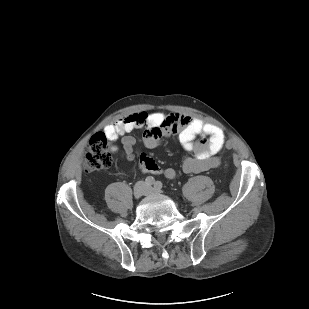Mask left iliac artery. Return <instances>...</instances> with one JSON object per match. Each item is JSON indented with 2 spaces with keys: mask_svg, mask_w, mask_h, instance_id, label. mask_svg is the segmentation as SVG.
<instances>
[{
  "mask_svg": "<svg viewBox=\"0 0 309 309\" xmlns=\"http://www.w3.org/2000/svg\"><path fill=\"white\" fill-rule=\"evenodd\" d=\"M154 187H155V189H157V190H161L162 187H163V184H162L161 181H156V182L154 183Z\"/></svg>",
  "mask_w": 309,
  "mask_h": 309,
  "instance_id": "left-iliac-artery-1",
  "label": "left iliac artery"
}]
</instances>
